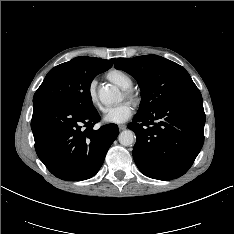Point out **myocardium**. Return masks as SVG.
<instances>
[{"label":"myocardium","mask_w":234,"mask_h":234,"mask_svg":"<svg viewBox=\"0 0 234 234\" xmlns=\"http://www.w3.org/2000/svg\"><path fill=\"white\" fill-rule=\"evenodd\" d=\"M123 96L125 99L129 100L134 104L139 102V93L131 87L124 89Z\"/></svg>","instance_id":"f54148a6"}]
</instances>
